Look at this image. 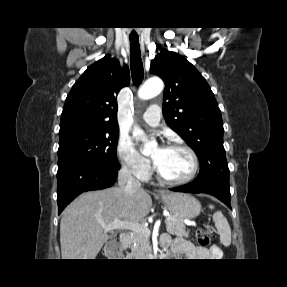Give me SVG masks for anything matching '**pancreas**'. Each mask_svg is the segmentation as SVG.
<instances>
[{
    "instance_id": "obj_1",
    "label": "pancreas",
    "mask_w": 287,
    "mask_h": 287,
    "mask_svg": "<svg viewBox=\"0 0 287 287\" xmlns=\"http://www.w3.org/2000/svg\"><path fill=\"white\" fill-rule=\"evenodd\" d=\"M166 230L169 234L177 237H189V231L183 223V220L177 216L170 215L166 220ZM150 234L134 232L131 236V253L128 254L130 258H145L151 251Z\"/></svg>"
}]
</instances>
